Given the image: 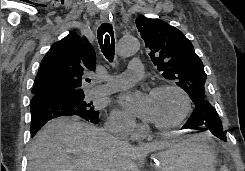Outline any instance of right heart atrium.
<instances>
[{"label": "right heart atrium", "mask_w": 245, "mask_h": 171, "mask_svg": "<svg viewBox=\"0 0 245 171\" xmlns=\"http://www.w3.org/2000/svg\"><path fill=\"white\" fill-rule=\"evenodd\" d=\"M108 124L113 130L127 135H133L138 130L135 121L124 112L118 110L111 113Z\"/></svg>", "instance_id": "d8ad5b80"}]
</instances>
